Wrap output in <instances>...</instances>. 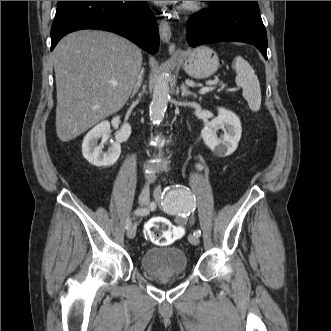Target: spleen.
I'll return each mask as SVG.
<instances>
[{"label":"spleen","mask_w":331,"mask_h":331,"mask_svg":"<svg viewBox=\"0 0 331 331\" xmlns=\"http://www.w3.org/2000/svg\"><path fill=\"white\" fill-rule=\"evenodd\" d=\"M233 69L236 72V84L243 89V97L252 111H258L261 106V89L258 77L251 65L241 56L235 57Z\"/></svg>","instance_id":"1"}]
</instances>
